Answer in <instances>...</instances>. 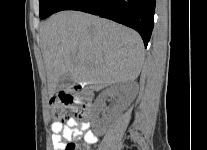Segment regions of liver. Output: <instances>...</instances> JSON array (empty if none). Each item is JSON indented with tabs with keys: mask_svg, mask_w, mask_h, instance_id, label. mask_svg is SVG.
Masks as SVG:
<instances>
[{
	"mask_svg": "<svg viewBox=\"0 0 207 150\" xmlns=\"http://www.w3.org/2000/svg\"><path fill=\"white\" fill-rule=\"evenodd\" d=\"M48 94L69 73L74 84L100 90L138 78L144 62L140 35L125 26L78 11L52 15L40 28Z\"/></svg>",
	"mask_w": 207,
	"mask_h": 150,
	"instance_id": "liver-1",
	"label": "liver"
}]
</instances>
